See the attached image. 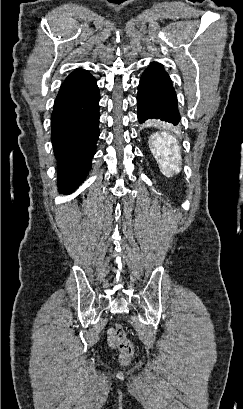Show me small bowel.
<instances>
[{
	"instance_id": "1",
	"label": "small bowel",
	"mask_w": 243,
	"mask_h": 409,
	"mask_svg": "<svg viewBox=\"0 0 243 409\" xmlns=\"http://www.w3.org/2000/svg\"><path fill=\"white\" fill-rule=\"evenodd\" d=\"M107 343L111 348H116V340L114 337V329H109L107 332Z\"/></svg>"
}]
</instances>
